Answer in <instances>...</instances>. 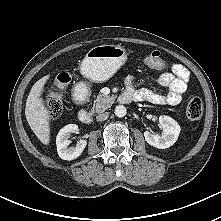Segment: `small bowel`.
I'll list each match as a JSON object with an SVG mask.
<instances>
[{
  "instance_id": "small-bowel-1",
  "label": "small bowel",
  "mask_w": 221,
  "mask_h": 221,
  "mask_svg": "<svg viewBox=\"0 0 221 221\" xmlns=\"http://www.w3.org/2000/svg\"><path fill=\"white\" fill-rule=\"evenodd\" d=\"M189 72L181 64L172 65L170 73H164L159 77V85L168 90L166 94H160L152 89L139 88L135 85V78L131 75L125 79V92L130 100L147 101L157 105H177L182 101L187 90Z\"/></svg>"
}]
</instances>
